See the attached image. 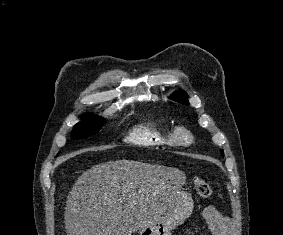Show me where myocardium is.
<instances>
[{"mask_svg":"<svg viewBox=\"0 0 283 235\" xmlns=\"http://www.w3.org/2000/svg\"><path fill=\"white\" fill-rule=\"evenodd\" d=\"M174 142L179 145H188L193 142V136L189 129L183 126L173 130Z\"/></svg>","mask_w":283,"mask_h":235,"instance_id":"1","label":"myocardium"}]
</instances>
